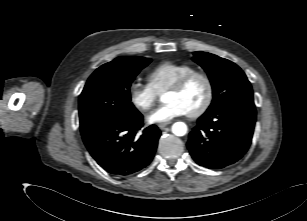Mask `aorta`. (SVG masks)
Returning a JSON list of instances; mask_svg holds the SVG:
<instances>
[{
  "instance_id": "762f6f07",
  "label": "aorta",
  "mask_w": 307,
  "mask_h": 221,
  "mask_svg": "<svg viewBox=\"0 0 307 221\" xmlns=\"http://www.w3.org/2000/svg\"><path fill=\"white\" fill-rule=\"evenodd\" d=\"M172 132L176 136H184L187 133V125L183 122H176L172 125Z\"/></svg>"
}]
</instances>
